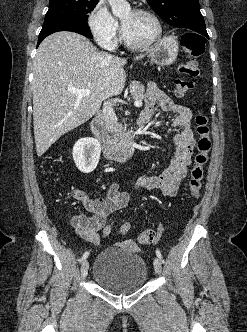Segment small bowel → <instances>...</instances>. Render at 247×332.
Wrapping results in <instances>:
<instances>
[{
  "label": "small bowel",
  "mask_w": 247,
  "mask_h": 332,
  "mask_svg": "<svg viewBox=\"0 0 247 332\" xmlns=\"http://www.w3.org/2000/svg\"><path fill=\"white\" fill-rule=\"evenodd\" d=\"M146 107L141 116L146 120L155 113L157 105L165 112L175 114L173 125L180 132L173 136L176 145L174 158L170 165L159 175L140 178L136 182V190L159 191L164 196H175L187 175L191 163L192 151L195 147V137L192 131V113L186 106L175 102L156 84H150L145 97ZM73 196L82 202L91 215L79 214L73 217L71 224L79 236L86 241L98 245L99 231L105 227L107 218L113 212L124 208L131 193L119 191L116 183L108 189L107 198H90L84 191L75 189Z\"/></svg>",
  "instance_id": "small-bowel-1"
}]
</instances>
